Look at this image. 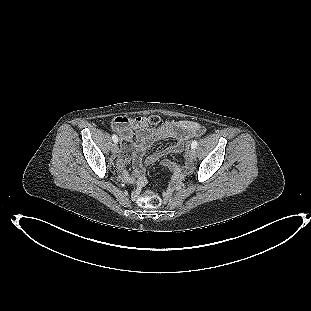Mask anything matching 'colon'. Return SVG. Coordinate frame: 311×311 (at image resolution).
<instances>
[{
  "label": "colon",
  "mask_w": 311,
  "mask_h": 311,
  "mask_svg": "<svg viewBox=\"0 0 311 311\" xmlns=\"http://www.w3.org/2000/svg\"><path fill=\"white\" fill-rule=\"evenodd\" d=\"M159 121V117L155 115L145 119V122L150 125H156ZM137 201L139 205L149 208H157L162 204L161 197L153 192H148L145 195L138 197Z\"/></svg>",
  "instance_id": "obj_1"
}]
</instances>
